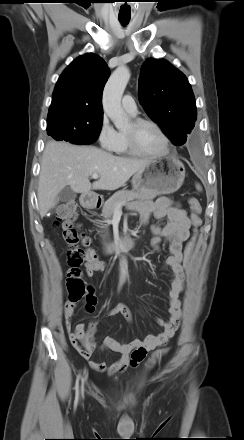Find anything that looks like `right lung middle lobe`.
Segmentation results:
<instances>
[{
  "label": "right lung middle lobe",
  "mask_w": 244,
  "mask_h": 440,
  "mask_svg": "<svg viewBox=\"0 0 244 440\" xmlns=\"http://www.w3.org/2000/svg\"><path fill=\"white\" fill-rule=\"evenodd\" d=\"M102 121L77 123L71 121H47V134L57 141L65 140L73 144H91L99 136Z\"/></svg>",
  "instance_id": "dd1d6c3e"
}]
</instances>
